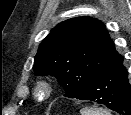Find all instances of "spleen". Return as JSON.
Masks as SVG:
<instances>
[{"label": "spleen", "instance_id": "spleen-1", "mask_svg": "<svg viewBox=\"0 0 131 115\" xmlns=\"http://www.w3.org/2000/svg\"><path fill=\"white\" fill-rule=\"evenodd\" d=\"M81 115H111L108 111L101 109L83 108L80 110Z\"/></svg>", "mask_w": 131, "mask_h": 115}]
</instances>
